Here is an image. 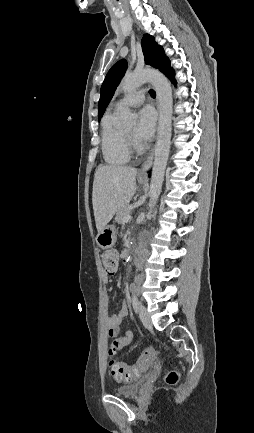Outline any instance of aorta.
Returning <instances> with one entry per match:
<instances>
[{
	"label": "aorta",
	"mask_w": 254,
	"mask_h": 433,
	"mask_svg": "<svg viewBox=\"0 0 254 433\" xmlns=\"http://www.w3.org/2000/svg\"><path fill=\"white\" fill-rule=\"evenodd\" d=\"M146 82H150L157 93L159 101V124L155 157L151 173L150 201L148 216L151 215L161 193L165 169L169 157L172 132L173 97L172 88L167 78L156 70H135L127 72L121 87L125 92L132 91ZM137 116L129 108H123L120 119L123 123H135Z\"/></svg>",
	"instance_id": "aorta-1"
}]
</instances>
